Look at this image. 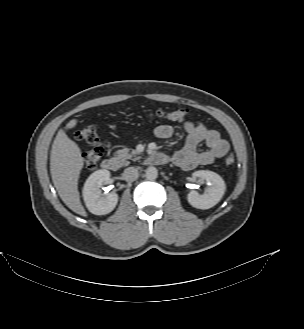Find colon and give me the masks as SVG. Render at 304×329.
I'll use <instances>...</instances> for the list:
<instances>
[{
  "label": "colon",
  "instance_id": "obj_1",
  "mask_svg": "<svg viewBox=\"0 0 304 329\" xmlns=\"http://www.w3.org/2000/svg\"><path fill=\"white\" fill-rule=\"evenodd\" d=\"M188 116L186 109L176 111L157 110L148 113V117L159 122L166 121H184ZM76 139L90 145V149L85 153L83 159V169L90 171L96 168L102 155L103 148L98 136V131L94 125H86L78 129ZM224 162L227 166H231L235 162V157L232 152H227L224 156Z\"/></svg>",
  "mask_w": 304,
  "mask_h": 329
}]
</instances>
